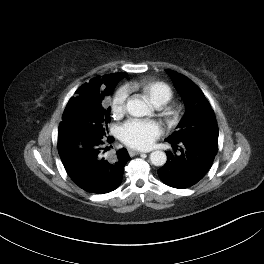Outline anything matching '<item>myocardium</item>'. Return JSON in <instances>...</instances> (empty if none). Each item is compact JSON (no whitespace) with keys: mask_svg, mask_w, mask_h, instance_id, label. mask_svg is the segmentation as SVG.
<instances>
[{"mask_svg":"<svg viewBox=\"0 0 264 264\" xmlns=\"http://www.w3.org/2000/svg\"><path fill=\"white\" fill-rule=\"evenodd\" d=\"M176 118H177V113H172L171 114V120L173 121V120H176Z\"/></svg>","mask_w":264,"mask_h":264,"instance_id":"obj_1","label":"myocardium"}]
</instances>
